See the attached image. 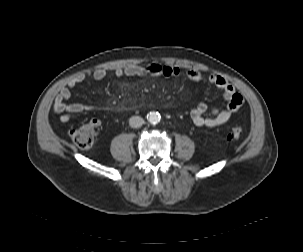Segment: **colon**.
<instances>
[{
    "label": "colon",
    "instance_id": "colon-1",
    "mask_svg": "<svg viewBox=\"0 0 303 252\" xmlns=\"http://www.w3.org/2000/svg\"><path fill=\"white\" fill-rule=\"evenodd\" d=\"M244 133L242 126H233L230 130V136L238 138ZM73 142L80 148H90L97 141L98 133L95 122L85 123L70 132Z\"/></svg>",
    "mask_w": 303,
    "mask_h": 252
}]
</instances>
